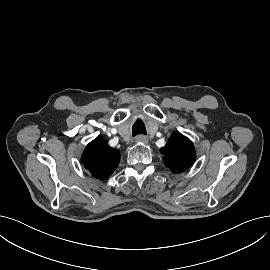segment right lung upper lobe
Returning a JSON list of instances; mask_svg holds the SVG:
<instances>
[{"label": "right lung upper lobe", "instance_id": "right-lung-upper-lobe-1", "mask_svg": "<svg viewBox=\"0 0 270 270\" xmlns=\"http://www.w3.org/2000/svg\"><path fill=\"white\" fill-rule=\"evenodd\" d=\"M119 160V150L111 148L101 137L90 142L81 157L83 165L91 175L101 180L108 178L115 171Z\"/></svg>", "mask_w": 270, "mask_h": 270}]
</instances>
